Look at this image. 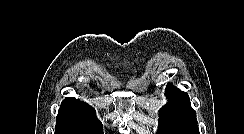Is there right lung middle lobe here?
Segmentation results:
<instances>
[{
  "instance_id": "right-lung-middle-lobe-1",
  "label": "right lung middle lobe",
  "mask_w": 244,
  "mask_h": 134,
  "mask_svg": "<svg viewBox=\"0 0 244 134\" xmlns=\"http://www.w3.org/2000/svg\"><path fill=\"white\" fill-rule=\"evenodd\" d=\"M55 130V134H103V126L98 119L58 118Z\"/></svg>"
}]
</instances>
